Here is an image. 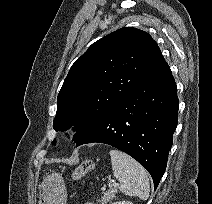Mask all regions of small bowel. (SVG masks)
<instances>
[{
	"label": "small bowel",
	"instance_id": "obj_1",
	"mask_svg": "<svg viewBox=\"0 0 212 204\" xmlns=\"http://www.w3.org/2000/svg\"><path fill=\"white\" fill-rule=\"evenodd\" d=\"M84 204H93V203H91V202H87V203H84Z\"/></svg>",
	"mask_w": 212,
	"mask_h": 204
}]
</instances>
